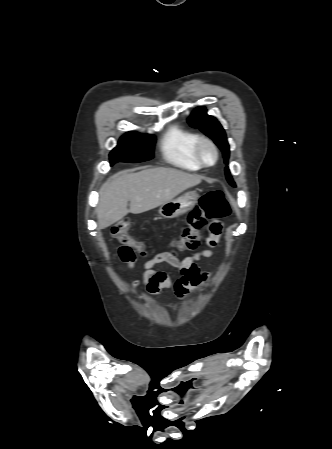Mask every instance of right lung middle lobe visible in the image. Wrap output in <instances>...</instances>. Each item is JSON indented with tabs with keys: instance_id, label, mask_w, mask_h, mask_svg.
<instances>
[{
	"instance_id": "right-lung-middle-lobe-1",
	"label": "right lung middle lobe",
	"mask_w": 332,
	"mask_h": 449,
	"mask_svg": "<svg viewBox=\"0 0 332 449\" xmlns=\"http://www.w3.org/2000/svg\"><path fill=\"white\" fill-rule=\"evenodd\" d=\"M155 137L148 134L128 132L110 153V165L121 162H142L152 159Z\"/></svg>"
}]
</instances>
